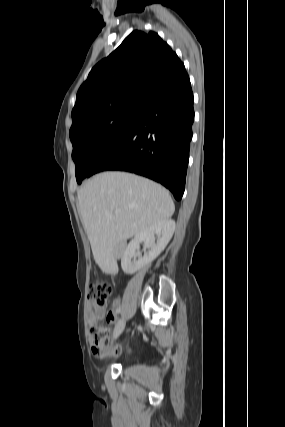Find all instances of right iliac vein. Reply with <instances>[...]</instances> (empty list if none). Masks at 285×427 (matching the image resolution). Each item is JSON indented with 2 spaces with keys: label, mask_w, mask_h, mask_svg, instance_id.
I'll list each match as a JSON object with an SVG mask.
<instances>
[{
  "label": "right iliac vein",
  "mask_w": 285,
  "mask_h": 427,
  "mask_svg": "<svg viewBox=\"0 0 285 427\" xmlns=\"http://www.w3.org/2000/svg\"><path fill=\"white\" fill-rule=\"evenodd\" d=\"M124 328H125V321L120 320L119 323H117V325L114 328L113 338L114 339L118 338L121 335V333L123 332Z\"/></svg>",
  "instance_id": "right-iliac-vein-1"
}]
</instances>
